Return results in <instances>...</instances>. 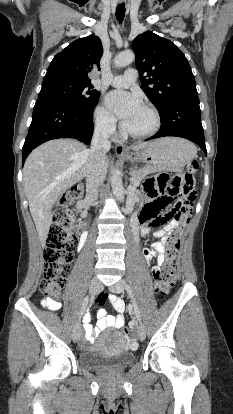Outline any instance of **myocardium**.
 I'll use <instances>...</instances> for the list:
<instances>
[{"label":"myocardium","instance_id":"obj_1","mask_svg":"<svg viewBox=\"0 0 233 414\" xmlns=\"http://www.w3.org/2000/svg\"><path fill=\"white\" fill-rule=\"evenodd\" d=\"M144 109L148 110L154 117V126L152 127L151 130L145 132V133H134L131 132L130 130H128L125 125H122V132L124 135L133 138V139H138V140H142V139H147L150 138L152 136H154L161 127V115L159 113V111L152 105L146 104L142 106Z\"/></svg>","mask_w":233,"mask_h":414}]
</instances>
